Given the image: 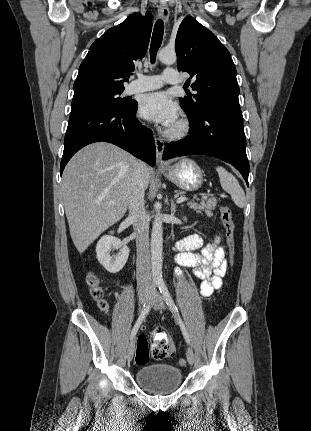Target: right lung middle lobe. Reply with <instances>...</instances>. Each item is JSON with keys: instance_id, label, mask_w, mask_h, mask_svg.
Returning <instances> with one entry per match:
<instances>
[{"instance_id": "right-lung-middle-lobe-1", "label": "right lung middle lobe", "mask_w": 311, "mask_h": 431, "mask_svg": "<svg viewBox=\"0 0 311 431\" xmlns=\"http://www.w3.org/2000/svg\"><path fill=\"white\" fill-rule=\"evenodd\" d=\"M123 91H87L74 94L71 111L82 107L102 106L122 111H130L137 106L136 101H127L119 95Z\"/></svg>"}]
</instances>
